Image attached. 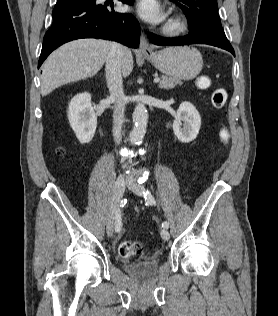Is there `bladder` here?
Masks as SVG:
<instances>
[{"mask_svg":"<svg viewBox=\"0 0 278 316\" xmlns=\"http://www.w3.org/2000/svg\"><path fill=\"white\" fill-rule=\"evenodd\" d=\"M159 266V261L152 259V260H147L138 264H127L125 265V270L129 273L143 276V277H150L153 276Z\"/></svg>","mask_w":278,"mask_h":316,"instance_id":"1","label":"bladder"}]
</instances>
